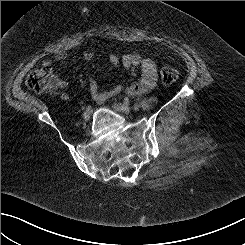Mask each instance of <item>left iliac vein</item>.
<instances>
[{
    "label": "left iliac vein",
    "instance_id": "left-iliac-vein-1",
    "mask_svg": "<svg viewBox=\"0 0 245 245\" xmlns=\"http://www.w3.org/2000/svg\"><path fill=\"white\" fill-rule=\"evenodd\" d=\"M113 107L118 112H122V113H126V114L131 112V108L129 106L123 105V104H120V103H114Z\"/></svg>",
    "mask_w": 245,
    "mask_h": 245
}]
</instances>
